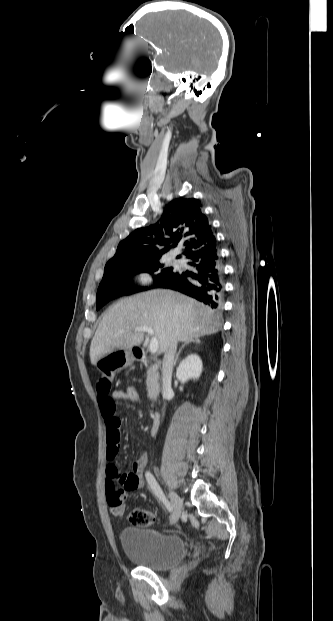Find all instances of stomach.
Here are the masks:
<instances>
[{"mask_svg":"<svg viewBox=\"0 0 333 621\" xmlns=\"http://www.w3.org/2000/svg\"><path fill=\"white\" fill-rule=\"evenodd\" d=\"M134 361L132 349L112 348L106 356L96 363L100 373H114L131 364Z\"/></svg>","mask_w":333,"mask_h":621,"instance_id":"obj_1","label":"stomach"}]
</instances>
